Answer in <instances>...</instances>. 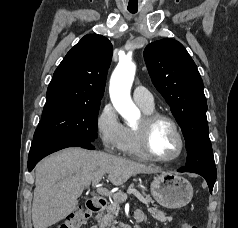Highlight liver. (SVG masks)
<instances>
[{
  "instance_id": "obj_1",
  "label": "liver",
  "mask_w": 238,
  "mask_h": 228,
  "mask_svg": "<svg viewBox=\"0 0 238 228\" xmlns=\"http://www.w3.org/2000/svg\"><path fill=\"white\" fill-rule=\"evenodd\" d=\"M154 167L101 151L73 147L42 160L35 169L32 203L34 228H48L65 219L78 206L84 187L108 174L113 185H122L137 174L158 173Z\"/></svg>"
}]
</instances>
